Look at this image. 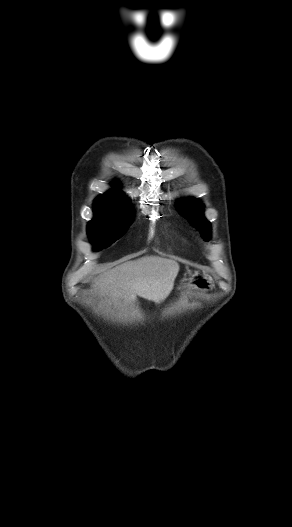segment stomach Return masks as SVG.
<instances>
[{
    "label": "stomach",
    "mask_w": 292,
    "mask_h": 527,
    "mask_svg": "<svg viewBox=\"0 0 292 527\" xmlns=\"http://www.w3.org/2000/svg\"><path fill=\"white\" fill-rule=\"evenodd\" d=\"M195 281L199 287H209L211 284V282L205 280L204 278H198V279H195Z\"/></svg>",
    "instance_id": "stomach-1"
}]
</instances>
